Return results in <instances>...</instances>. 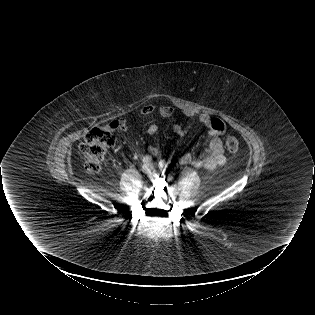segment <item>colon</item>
Segmentation results:
<instances>
[{
	"instance_id": "1",
	"label": "colon",
	"mask_w": 315,
	"mask_h": 315,
	"mask_svg": "<svg viewBox=\"0 0 315 315\" xmlns=\"http://www.w3.org/2000/svg\"><path fill=\"white\" fill-rule=\"evenodd\" d=\"M116 124L98 126L90 130L79 150L84 159L85 169L90 174H96L110 147L114 144ZM229 152L236 153L239 150V141L234 136H228L225 141Z\"/></svg>"
}]
</instances>
